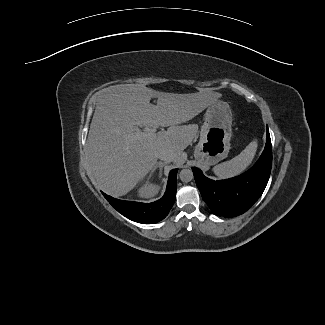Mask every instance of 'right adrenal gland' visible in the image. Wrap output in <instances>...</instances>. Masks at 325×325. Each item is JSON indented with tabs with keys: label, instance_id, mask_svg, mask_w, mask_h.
<instances>
[{
	"label": "right adrenal gland",
	"instance_id": "2a0ac1e0",
	"mask_svg": "<svg viewBox=\"0 0 325 325\" xmlns=\"http://www.w3.org/2000/svg\"><path fill=\"white\" fill-rule=\"evenodd\" d=\"M167 164V162H158L155 167L151 170L150 176L153 174V172L159 168V178L162 176V170L163 167Z\"/></svg>",
	"mask_w": 325,
	"mask_h": 325
}]
</instances>
